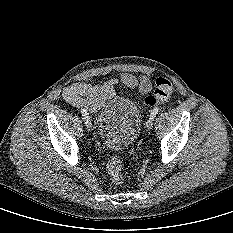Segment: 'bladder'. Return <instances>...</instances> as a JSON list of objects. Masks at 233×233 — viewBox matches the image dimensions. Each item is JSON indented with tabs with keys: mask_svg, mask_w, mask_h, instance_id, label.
<instances>
[{
	"mask_svg": "<svg viewBox=\"0 0 233 233\" xmlns=\"http://www.w3.org/2000/svg\"><path fill=\"white\" fill-rule=\"evenodd\" d=\"M140 126V109L129 98H112L99 112V134L110 149L121 150L131 146L138 136Z\"/></svg>",
	"mask_w": 233,
	"mask_h": 233,
	"instance_id": "bladder-1",
	"label": "bladder"
}]
</instances>
